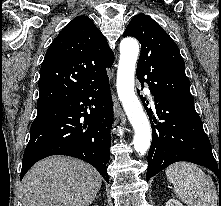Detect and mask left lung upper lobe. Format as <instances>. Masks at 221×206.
<instances>
[{"label": "left lung upper lobe", "instance_id": "left-lung-upper-lobe-1", "mask_svg": "<svg viewBox=\"0 0 221 206\" xmlns=\"http://www.w3.org/2000/svg\"><path fill=\"white\" fill-rule=\"evenodd\" d=\"M123 36H133L142 48L136 75L154 97L171 105L194 108L185 64L172 38L151 17L138 14L128 24Z\"/></svg>", "mask_w": 221, "mask_h": 206}]
</instances>
